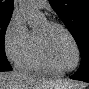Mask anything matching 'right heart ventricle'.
Wrapping results in <instances>:
<instances>
[{"label": "right heart ventricle", "mask_w": 89, "mask_h": 89, "mask_svg": "<svg viewBox=\"0 0 89 89\" xmlns=\"http://www.w3.org/2000/svg\"><path fill=\"white\" fill-rule=\"evenodd\" d=\"M18 68L26 73L39 76H59L54 73L45 63L39 50L36 31H31V44L29 51L17 64Z\"/></svg>", "instance_id": "obj_1"}]
</instances>
